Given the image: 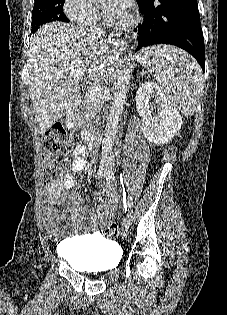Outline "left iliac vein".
<instances>
[{
  "label": "left iliac vein",
  "mask_w": 227,
  "mask_h": 315,
  "mask_svg": "<svg viewBox=\"0 0 227 315\" xmlns=\"http://www.w3.org/2000/svg\"><path fill=\"white\" fill-rule=\"evenodd\" d=\"M132 221H133V217L132 215L129 213L127 214L125 220H124V226L125 228H129L132 225Z\"/></svg>",
  "instance_id": "left-iliac-vein-1"
}]
</instances>
